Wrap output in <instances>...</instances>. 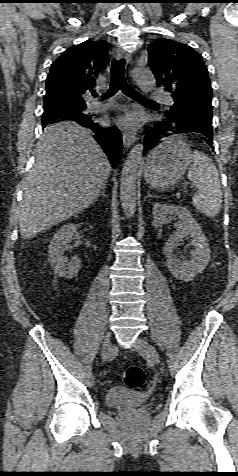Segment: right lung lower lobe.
<instances>
[{
  "label": "right lung lower lobe",
  "instance_id": "1",
  "mask_svg": "<svg viewBox=\"0 0 238 476\" xmlns=\"http://www.w3.org/2000/svg\"><path fill=\"white\" fill-rule=\"evenodd\" d=\"M76 122L94 131L96 134L95 140L104 150L111 164L116 166L122 153V137L118 128L114 126L108 128L102 127L95 123L93 118ZM45 126L46 124H43V127Z\"/></svg>",
  "mask_w": 238,
  "mask_h": 476
}]
</instances>
